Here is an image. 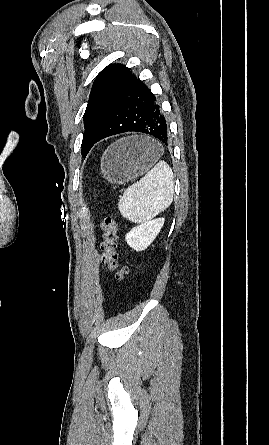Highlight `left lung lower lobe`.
Listing matches in <instances>:
<instances>
[{
    "label": "left lung lower lobe",
    "mask_w": 269,
    "mask_h": 445,
    "mask_svg": "<svg viewBox=\"0 0 269 445\" xmlns=\"http://www.w3.org/2000/svg\"><path fill=\"white\" fill-rule=\"evenodd\" d=\"M129 131L149 134L165 145L169 139V127L156 97L135 75L131 76L93 145L106 137Z\"/></svg>",
    "instance_id": "1"
}]
</instances>
